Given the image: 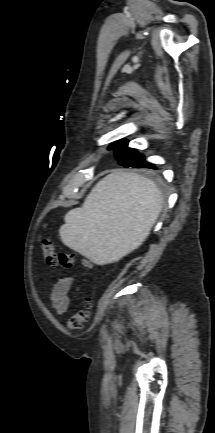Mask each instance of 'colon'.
<instances>
[{
	"mask_svg": "<svg viewBox=\"0 0 215 433\" xmlns=\"http://www.w3.org/2000/svg\"><path fill=\"white\" fill-rule=\"evenodd\" d=\"M42 251L44 258L48 265L52 267H59L63 269H69L74 265L75 255L69 252H58L53 243L45 239L42 243ZM85 266L89 265L88 261H84ZM92 313V301L87 299L84 302L83 307L74 315H72L67 321V327L70 330L77 331L84 328L89 322Z\"/></svg>",
	"mask_w": 215,
	"mask_h": 433,
	"instance_id": "1",
	"label": "colon"
}]
</instances>
